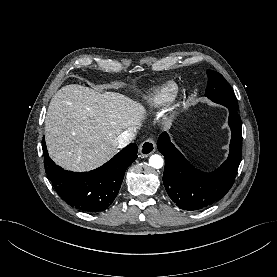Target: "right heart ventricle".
<instances>
[{
	"mask_svg": "<svg viewBox=\"0 0 277 277\" xmlns=\"http://www.w3.org/2000/svg\"><path fill=\"white\" fill-rule=\"evenodd\" d=\"M173 90L174 86L172 84H166L155 89L147 96L145 106L152 110L164 105L171 99Z\"/></svg>",
	"mask_w": 277,
	"mask_h": 277,
	"instance_id": "obj_1",
	"label": "right heart ventricle"
}]
</instances>
